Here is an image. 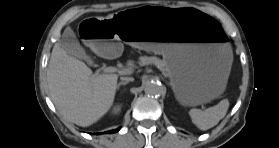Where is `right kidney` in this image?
Masks as SVG:
<instances>
[{
	"label": "right kidney",
	"mask_w": 279,
	"mask_h": 148,
	"mask_svg": "<svg viewBox=\"0 0 279 148\" xmlns=\"http://www.w3.org/2000/svg\"><path fill=\"white\" fill-rule=\"evenodd\" d=\"M120 110H121V107L119 106V105H117V106H115L114 108H113V113L114 114H118L119 112H120Z\"/></svg>",
	"instance_id": "ca27d5eb"
}]
</instances>
